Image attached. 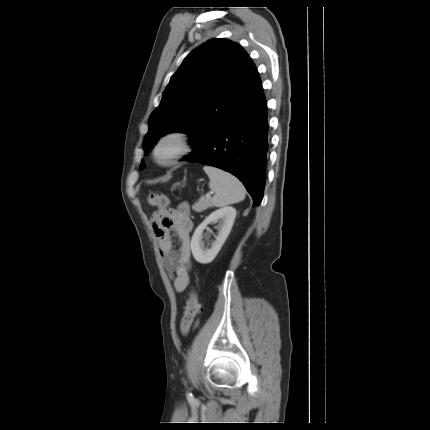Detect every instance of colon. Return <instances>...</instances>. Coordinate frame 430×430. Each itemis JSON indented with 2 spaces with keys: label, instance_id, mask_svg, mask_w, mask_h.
<instances>
[{
  "label": "colon",
  "instance_id": "1",
  "mask_svg": "<svg viewBox=\"0 0 430 430\" xmlns=\"http://www.w3.org/2000/svg\"><path fill=\"white\" fill-rule=\"evenodd\" d=\"M148 202L150 205L155 206L159 209V212H165L170 205V198L164 193H151L148 196ZM200 312V304L198 301L197 294L192 292L187 302L184 316L181 321L182 332L186 334L192 326L195 317Z\"/></svg>",
  "mask_w": 430,
  "mask_h": 430
}]
</instances>
